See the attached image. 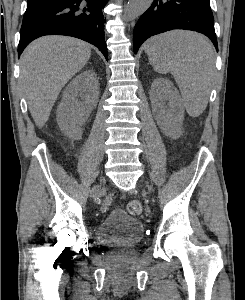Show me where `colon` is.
Listing matches in <instances>:
<instances>
[{
  "label": "colon",
  "mask_w": 245,
  "mask_h": 300,
  "mask_svg": "<svg viewBox=\"0 0 245 300\" xmlns=\"http://www.w3.org/2000/svg\"><path fill=\"white\" fill-rule=\"evenodd\" d=\"M143 207L140 201L132 200L127 204V211L132 216H138L142 213Z\"/></svg>",
  "instance_id": "colon-1"
}]
</instances>
